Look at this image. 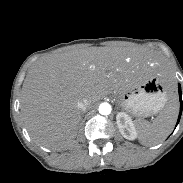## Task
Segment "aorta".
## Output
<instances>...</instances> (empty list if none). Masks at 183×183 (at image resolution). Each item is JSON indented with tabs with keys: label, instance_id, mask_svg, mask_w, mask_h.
<instances>
[{
	"label": "aorta",
	"instance_id": "obj_1",
	"mask_svg": "<svg viewBox=\"0 0 183 183\" xmlns=\"http://www.w3.org/2000/svg\"><path fill=\"white\" fill-rule=\"evenodd\" d=\"M111 105L109 103H101L100 106H99V113L101 115H109L111 113Z\"/></svg>",
	"mask_w": 183,
	"mask_h": 183
}]
</instances>
